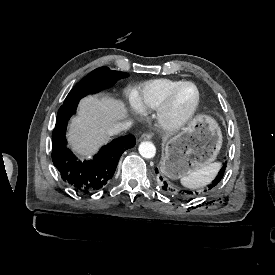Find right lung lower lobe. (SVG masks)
Returning a JSON list of instances; mask_svg holds the SVG:
<instances>
[{"mask_svg": "<svg viewBox=\"0 0 275 275\" xmlns=\"http://www.w3.org/2000/svg\"><path fill=\"white\" fill-rule=\"evenodd\" d=\"M78 102L63 104L57 114L52 133V160L63 181L81 193H91L101 189L116 170L123 152L134 147L132 135L120 137L103 146L91 161H78L66 147V126L69 118L76 112Z\"/></svg>", "mask_w": 275, "mask_h": 275, "instance_id": "obj_1", "label": "right lung lower lobe"}]
</instances>
